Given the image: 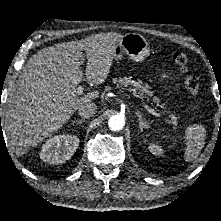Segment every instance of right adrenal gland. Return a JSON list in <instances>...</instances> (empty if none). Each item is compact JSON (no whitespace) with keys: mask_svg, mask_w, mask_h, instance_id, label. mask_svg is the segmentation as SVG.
I'll use <instances>...</instances> for the list:
<instances>
[{"mask_svg":"<svg viewBox=\"0 0 221 221\" xmlns=\"http://www.w3.org/2000/svg\"><path fill=\"white\" fill-rule=\"evenodd\" d=\"M85 122V120H75V121H73V124L75 123V124H82V123H84Z\"/></svg>","mask_w":221,"mask_h":221,"instance_id":"1","label":"right adrenal gland"}]
</instances>
